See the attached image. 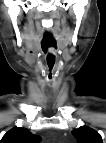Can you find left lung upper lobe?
<instances>
[{
	"instance_id": "1",
	"label": "left lung upper lobe",
	"mask_w": 106,
	"mask_h": 143,
	"mask_svg": "<svg viewBox=\"0 0 106 143\" xmlns=\"http://www.w3.org/2000/svg\"><path fill=\"white\" fill-rule=\"evenodd\" d=\"M78 143H103L99 133L89 127H81L72 131Z\"/></svg>"
}]
</instances>
